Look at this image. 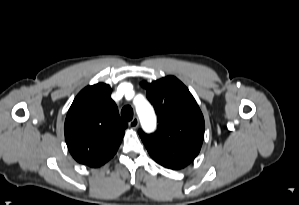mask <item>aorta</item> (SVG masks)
I'll list each match as a JSON object with an SVG mask.
<instances>
[{
	"label": "aorta",
	"instance_id": "1",
	"mask_svg": "<svg viewBox=\"0 0 299 205\" xmlns=\"http://www.w3.org/2000/svg\"><path fill=\"white\" fill-rule=\"evenodd\" d=\"M141 124L146 131H153L156 126V117L151 105L142 101L136 106Z\"/></svg>",
	"mask_w": 299,
	"mask_h": 205
}]
</instances>
